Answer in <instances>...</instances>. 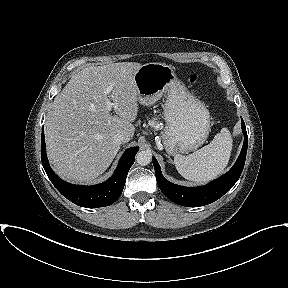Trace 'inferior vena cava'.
Returning a JSON list of instances; mask_svg holds the SVG:
<instances>
[{"mask_svg": "<svg viewBox=\"0 0 288 288\" xmlns=\"http://www.w3.org/2000/svg\"><path fill=\"white\" fill-rule=\"evenodd\" d=\"M114 138H115V140H116L117 142H119V143L125 142V137H124V135H122V134H116Z\"/></svg>", "mask_w": 288, "mask_h": 288, "instance_id": "1", "label": "inferior vena cava"}]
</instances>
